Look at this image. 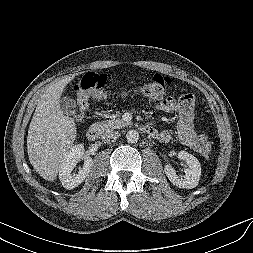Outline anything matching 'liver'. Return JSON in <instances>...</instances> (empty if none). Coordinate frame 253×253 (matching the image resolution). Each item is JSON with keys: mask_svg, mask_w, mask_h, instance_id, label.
<instances>
[{"mask_svg": "<svg viewBox=\"0 0 253 253\" xmlns=\"http://www.w3.org/2000/svg\"><path fill=\"white\" fill-rule=\"evenodd\" d=\"M74 75L53 82L41 96L29 125L27 152L31 165L45 180L56 179L66 152L77 137L74 119L60 109V97Z\"/></svg>", "mask_w": 253, "mask_h": 253, "instance_id": "liver-1", "label": "liver"}]
</instances>
